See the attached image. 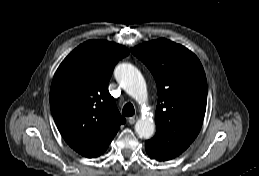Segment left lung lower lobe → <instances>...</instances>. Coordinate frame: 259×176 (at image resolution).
Instances as JSON below:
<instances>
[{"instance_id":"1","label":"left lung lower lobe","mask_w":259,"mask_h":176,"mask_svg":"<svg viewBox=\"0 0 259 176\" xmlns=\"http://www.w3.org/2000/svg\"><path fill=\"white\" fill-rule=\"evenodd\" d=\"M152 158V157H151ZM154 159H156V160H158V161H162V160H159L158 158H154Z\"/></svg>"}]
</instances>
